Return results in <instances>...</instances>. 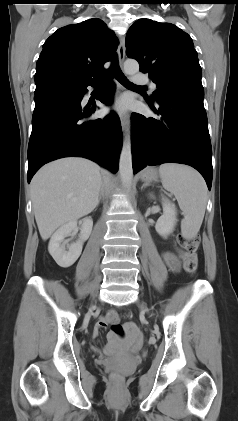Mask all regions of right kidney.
<instances>
[{
  "label": "right kidney",
  "instance_id": "obj_1",
  "mask_svg": "<svg viewBox=\"0 0 238 421\" xmlns=\"http://www.w3.org/2000/svg\"><path fill=\"white\" fill-rule=\"evenodd\" d=\"M77 227V221H71L61 226L51 237L48 251L56 263L63 268L72 266L79 258L82 252L83 243L89 238L93 221L91 218H85L81 224L80 238L76 243L67 245L65 237Z\"/></svg>",
  "mask_w": 238,
  "mask_h": 421
}]
</instances>
